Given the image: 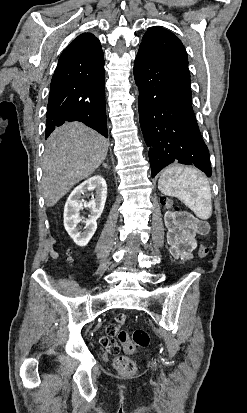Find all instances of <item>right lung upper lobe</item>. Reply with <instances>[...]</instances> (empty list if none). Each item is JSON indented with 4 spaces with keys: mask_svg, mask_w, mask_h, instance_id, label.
<instances>
[{
    "mask_svg": "<svg viewBox=\"0 0 247 413\" xmlns=\"http://www.w3.org/2000/svg\"><path fill=\"white\" fill-rule=\"evenodd\" d=\"M104 64L99 40L91 33L79 35L61 54L56 70L82 71Z\"/></svg>",
    "mask_w": 247,
    "mask_h": 413,
    "instance_id": "right-lung-upper-lobe-1",
    "label": "right lung upper lobe"
}]
</instances>
